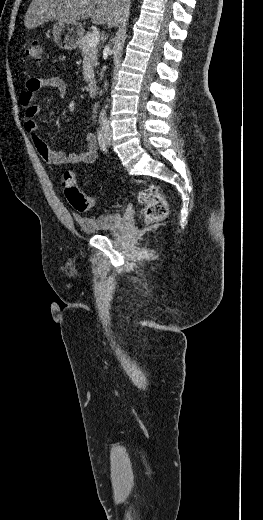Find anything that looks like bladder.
Wrapping results in <instances>:
<instances>
[{
    "instance_id": "31cf9c89",
    "label": "bladder",
    "mask_w": 263,
    "mask_h": 520,
    "mask_svg": "<svg viewBox=\"0 0 263 520\" xmlns=\"http://www.w3.org/2000/svg\"><path fill=\"white\" fill-rule=\"evenodd\" d=\"M77 227L85 233L115 232L123 227L124 221L119 214H103L99 216H75Z\"/></svg>"
}]
</instances>
